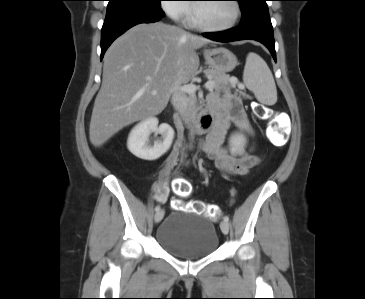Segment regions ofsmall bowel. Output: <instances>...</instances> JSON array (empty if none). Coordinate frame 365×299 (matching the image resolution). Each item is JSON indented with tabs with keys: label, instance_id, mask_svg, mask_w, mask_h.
Instances as JSON below:
<instances>
[{
	"label": "small bowel",
	"instance_id": "small-bowel-1",
	"mask_svg": "<svg viewBox=\"0 0 365 299\" xmlns=\"http://www.w3.org/2000/svg\"><path fill=\"white\" fill-rule=\"evenodd\" d=\"M210 99L215 106V123L212 131L202 143V148L215 161L216 167L221 172L234 176H244L261 162L262 157L254 152V146L238 154L229 151L224 146L225 135L231 126L237 127L254 138V131L242 108L241 101L237 96L225 95L220 97L218 93L211 94ZM175 164V158H170L164 165L160 178L155 184V197L159 201H164L168 197L167 178Z\"/></svg>",
	"mask_w": 365,
	"mask_h": 299
}]
</instances>
